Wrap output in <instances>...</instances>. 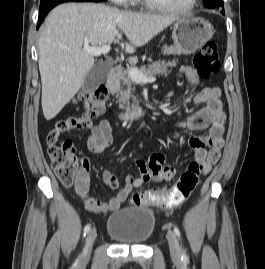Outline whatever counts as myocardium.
<instances>
[{
	"label": "myocardium",
	"instance_id": "myocardium-1",
	"mask_svg": "<svg viewBox=\"0 0 265 269\" xmlns=\"http://www.w3.org/2000/svg\"><path fill=\"white\" fill-rule=\"evenodd\" d=\"M144 2L146 3L147 6L155 10L164 12L186 13L196 6L198 0H191L190 3L184 7H175L166 5L159 2L158 0H144Z\"/></svg>",
	"mask_w": 265,
	"mask_h": 269
}]
</instances>
